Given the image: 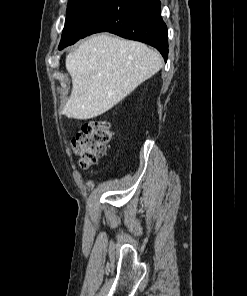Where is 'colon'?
Returning a JSON list of instances; mask_svg holds the SVG:
<instances>
[{"label": "colon", "mask_w": 247, "mask_h": 296, "mask_svg": "<svg viewBox=\"0 0 247 296\" xmlns=\"http://www.w3.org/2000/svg\"><path fill=\"white\" fill-rule=\"evenodd\" d=\"M111 133L107 122L92 120L82 124L73 140L74 151L80 158V167L87 169L105 154Z\"/></svg>", "instance_id": "5ec220e1"}]
</instances>
